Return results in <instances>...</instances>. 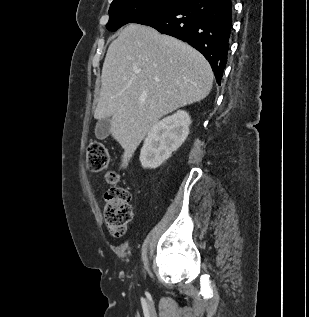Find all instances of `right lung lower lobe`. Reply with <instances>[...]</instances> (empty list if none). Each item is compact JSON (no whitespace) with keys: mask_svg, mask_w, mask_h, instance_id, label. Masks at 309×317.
<instances>
[{"mask_svg":"<svg viewBox=\"0 0 309 317\" xmlns=\"http://www.w3.org/2000/svg\"><path fill=\"white\" fill-rule=\"evenodd\" d=\"M132 22L151 26L196 48L209 61L217 82L221 83L232 30L231 0H185Z\"/></svg>","mask_w":309,"mask_h":317,"instance_id":"right-lung-lower-lobe-1","label":"right lung lower lobe"}]
</instances>
